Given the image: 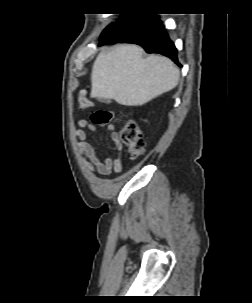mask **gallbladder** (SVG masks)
Listing matches in <instances>:
<instances>
[{"label": "gallbladder", "mask_w": 252, "mask_h": 303, "mask_svg": "<svg viewBox=\"0 0 252 303\" xmlns=\"http://www.w3.org/2000/svg\"><path fill=\"white\" fill-rule=\"evenodd\" d=\"M98 100H99L100 102H102V103H110V102H111L110 99H105V98H99Z\"/></svg>", "instance_id": "1"}]
</instances>
